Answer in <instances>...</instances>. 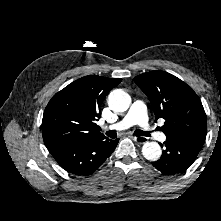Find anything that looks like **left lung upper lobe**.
I'll return each mask as SVG.
<instances>
[{
	"mask_svg": "<svg viewBox=\"0 0 221 221\" xmlns=\"http://www.w3.org/2000/svg\"><path fill=\"white\" fill-rule=\"evenodd\" d=\"M134 82L148 96L156 120H165L162 131L167 138L206 134L202 103L185 82L164 71L143 73L136 76Z\"/></svg>",
	"mask_w": 221,
	"mask_h": 221,
	"instance_id": "5c2ea615",
	"label": "left lung upper lobe"
}]
</instances>
